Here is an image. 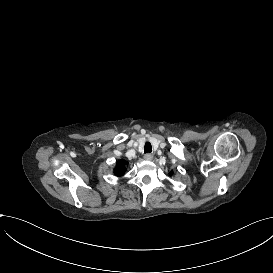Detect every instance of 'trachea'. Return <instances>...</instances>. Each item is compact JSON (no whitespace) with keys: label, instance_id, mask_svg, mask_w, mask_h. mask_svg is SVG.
Returning <instances> with one entry per match:
<instances>
[{"label":"trachea","instance_id":"1","mask_svg":"<svg viewBox=\"0 0 273 273\" xmlns=\"http://www.w3.org/2000/svg\"><path fill=\"white\" fill-rule=\"evenodd\" d=\"M151 152H152V146H151V144L149 142H147L145 144L144 153L146 154V153H151Z\"/></svg>","mask_w":273,"mask_h":273}]
</instances>
